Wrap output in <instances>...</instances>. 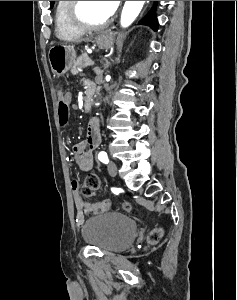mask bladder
Listing matches in <instances>:
<instances>
[{"mask_svg": "<svg viewBox=\"0 0 237 300\" xmlns=\"http://www.w3.org/2000/svg\"><path fill=\"white\" fill-rule=\"evenodd\" d=\"M137 235V225L130 217L106 212L88 218L82 228L83 241L104 252H117L130 246Z\"/></svg>", "mask_w": 237, "mask_h": 300, "instance_id": "obj_1", "label": "bladder"}]
</instances>
